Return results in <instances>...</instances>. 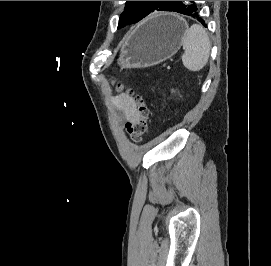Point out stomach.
Wrapping results in <instances>:
<instances>
[{"label": "stomach", "mask_w": 271, "mask_h": 266, "mask_svg": "<svg viewBox=\"0 0 271 266\" xmlns=\"http://www.w3.org/2000/svg\"><path fill=\"white\" fill-rule=\"evenodd\" d=\"M187 23L178 15L157 14L140 24L125 40L118 60L122 69L163 62L180 48Z\"/></svg>", "instance_id": "1"}]
</instances>
